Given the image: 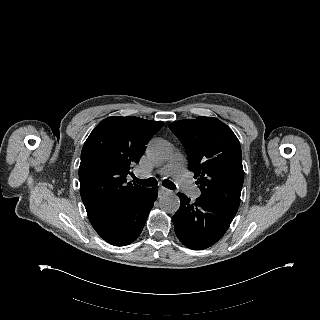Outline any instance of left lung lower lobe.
Here are the masks:
<instances>
[{
  "instance_id": "obj_1",
  "label": "left lung lower lobe",
  "mask_w": 320,
  "mask_h": 320,
  "mask_svg": "<svg viewBox=\"0 0 320 320\" xmlns=\"http://www.w3.org/2000/svg\"><path fill=\"white\" fill-rule=\"evenodd\" d=\"M180 208L173 216L178 239L188 248L201 250L216 243L227 231L236 213L204 198L193 203L178 193Z\"/></svg>"
}]
</instances>
